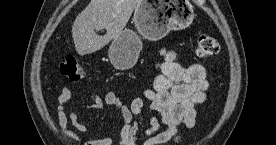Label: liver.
<instances>
[{"label":"liver","instance_id":"6515ba94","mask_svg":"<svg viewBox=\"0 0 276 145\" xmlns=\"http://www.w3.org/2000/svg\"><path fill=\"white\" fill-rule=\"evenodd\" d=\"M140 0H91L72 25L79 55L94 53L119 35ZM106 29L100 36L96 31Z\"/></svg>","mask_w":276,"mask_h":145}]
</instances>
